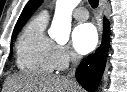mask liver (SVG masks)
I'll return each instance as SVG.
<instances>
[{"label":"liver","mask_w":127,"mask_h":92,"mask_svg":"<svg viewBox=\"0 0 127 92\" xmlns=\"http://www.w3.org/2000/svg\"><path fill=\"white\" fill-rule=\"evenodd\" d=\"M4 92H84L68 77L58 75L19 74L9 76Z\"/></svg>","instance_id":"1"}]
</instances>
